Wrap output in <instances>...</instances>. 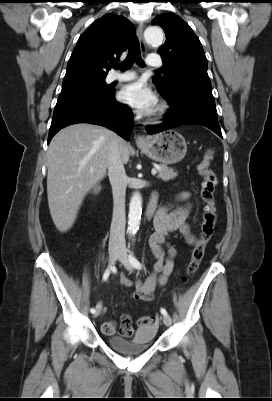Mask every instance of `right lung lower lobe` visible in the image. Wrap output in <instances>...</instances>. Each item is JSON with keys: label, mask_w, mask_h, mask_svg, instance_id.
<instances>
[{"label": "right lung lower lobe", "mask_w": 272, "mask_h": 401, "mask_svg": "<svg viewBox=\"0 0 272 401\" xmlns=\"http://www.w3.org/2000/svg\"><path fill=\"white\" fill-rule=\"evenodd\" d=\"M76 123L101 125L118 133L127 141L133 129L131 109L115 99V90L102 99H81L56 106L48 136V143L62 128Z\"/></svg>", "instance_id": "right-lung-lower-lobe-1"}]
</instances>
